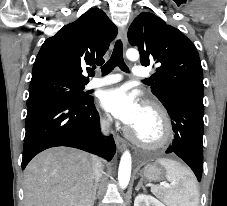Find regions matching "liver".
Here are the masks:
<instances>
[{
  "label": "liver",
  "instance_id": "liver-1",
  "mask_svg": "<svg viewBox=\"0 0 227 206\" xmlns=\"http://www.w3.org/2000/svg\"><path fill=\"white\" fill-rule=\"evenodd\" d=\"M94 159L68 147L38 154L24 171V206H92Z\"/></svg>",
  "mask_w": 227,
  "mask_h": 206
}]
</instances>
